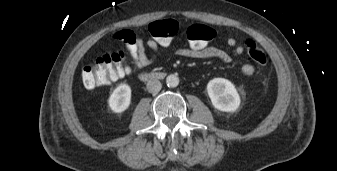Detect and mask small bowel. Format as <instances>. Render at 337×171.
<instances>
[{"label":"small bowel","mask_w":337,"mask_h":171,"mask_svg":"<svg viewBox=\"0 0 337 171\" xmlns=\"http://www.w3.org/2000/svg\"><path fill=\"white\" fill-rule=\"evenodd\" d=\"M115 38L123 40L126 44L127 52L130 55L136 70H140L153 64L158 58L161 46L156 40L148 39L147 41H143L128 30L117 32ZM226 43L232 48L231 53L215 46H208L201 48H180L176 51V54L185 58L203 60L216 59L225 62L230 61L233 57H238L243 54V46L237 45V41L234 37L227 38ZM147 48L151 51L150 54L147 53ZM241 73L244 76L250 77L255 73V66L251 63H246L242 66Z\"/></svg>","instance_id":"small-bowel-1"}]
</instances>
